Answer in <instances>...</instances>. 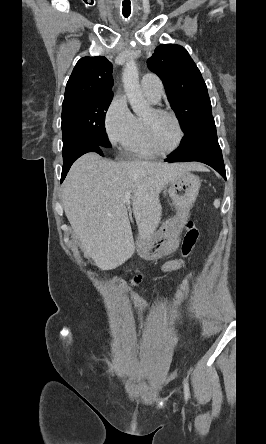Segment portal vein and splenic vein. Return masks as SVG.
Returning a JSON list of instances; mask_svg holds the SVG:
<instances>
[{
	"label": "portal vein and splenic vein",
	"mask_w": 266,
	"mask_h": 444,
	"mask_svg": "<svg viewBox=\"0 0 266 444\" xmlns=\"http://www.w3.org/2000/svg\"><path fill=\"white\" fill-rule=\"evenodd\" d=\"M130 195H131V193L129 191H126V193H125V202H127V203L131 202Z\"/></svg>",
	"instance_id": "obj_1"
}]
</instances>
